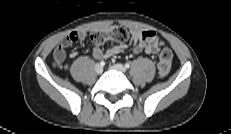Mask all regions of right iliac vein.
Listing matches in <instances>:
<instances>
[{"instance_id":"obj_1","label":"right iliac vein","mask_w":231,"mask_h":134,"mask_svg":"<svg viewBox=\"0 0 231 134\" xmlns=\"http://www.w3.org/2000/svg\"><path fill=\"white\" fill-rule=\"evenodd\" d=\"M95 72L96 74H101L103 72V67L99 64L95 65Z\"/></svg>"}]
</instances>
